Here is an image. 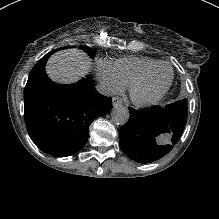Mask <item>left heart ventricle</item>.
Masks as SVG:
<instances>
[{
	"mask_svg": "<svg viewBox=\"0 0 219 219\" xmlns=\"http://www.w3.org/2000/svg\"><path fill=\"white\" fill-rule=\"evenodd\" d=\"M170 70L167 67H159L136 90V95L141 99H151L158 95L168 84Z\"/></svg>",
	"mask_w": 219,
	"mask_h": 219,
	"instance_id": "1",
	"label": "left heart ventricle"
}]
</instances>
